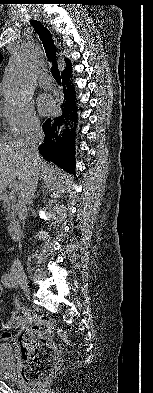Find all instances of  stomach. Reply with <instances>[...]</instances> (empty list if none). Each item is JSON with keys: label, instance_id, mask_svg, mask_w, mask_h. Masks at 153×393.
<instances>
[{"label": "stomach", "instance_id": "0dacf381", "mask_svg": "<svg viewBox=\"0 0 153 393\" xmlns=\"http://www.w3.org/2000/svg\"><path fill=\"white\" fill-rule=\"evenodd\" d=\"M2 198V193H0V199Z\"/></svg>", "mask_w": 153, "mask_h": 393}]
</instances>
